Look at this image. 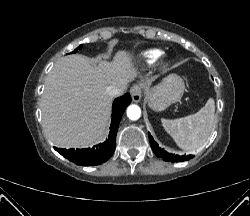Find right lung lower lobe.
Wrapping results in <instances>:
<instances>
[{"label": "right lung lower lobe", "instance_id": "right-lung-lower-lobe-1", "mask_svg": "<svg viewBox=\"0 0 250 216\" xmlns=\"http://www.w3.org/2000/svg\"><path fill=\"white\" fill-rule=\"evenodd\" d=\"M131 96L126 93L124 96L115 99L112 105V121L110 127L109 138L98 145H94L91 149H60L55 148L62 156L76 163L77 165H99L106 162L114 153L116 146V134L118 126L125 111L130 104Z\"/></svg>", "mask_w": 250, "mask_h": 216}]
</instances>
